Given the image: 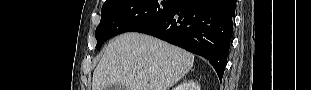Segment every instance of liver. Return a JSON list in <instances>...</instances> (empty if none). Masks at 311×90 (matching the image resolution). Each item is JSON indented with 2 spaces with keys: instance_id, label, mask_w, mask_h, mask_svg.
Wrapping results in <instances>:
<instances>
[{
  "instance_id": "liver-1",
  "label": "liver",
  "mask_w": 311,
  "mask_h": 90,
  "mask_svg": "<svg viewBox=\"0 0 311 90\" xmlns=\"http://www.w3.org/2000/svg\"><path fill=\"white\" fill-rule=\"evenodd\" d=\"M194 55L152 36L125 33L113 39L93 72L92 90H168L193 67Z\"/></svg>"
}]
</instances>
